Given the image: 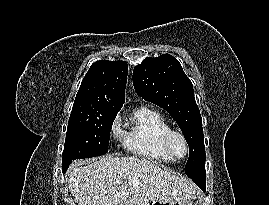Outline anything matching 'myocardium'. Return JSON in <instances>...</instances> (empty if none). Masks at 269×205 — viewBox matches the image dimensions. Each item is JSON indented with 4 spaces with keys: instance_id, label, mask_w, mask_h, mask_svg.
<instances>
[{
    "instance_id": "obj_1",
    "label": "myocardium",
    "mask_w": 269,
    "mask_h": 205,
    "mask_svg": "<svg viewBox=\"0 0 269 205\" xmlns=\"http://www.w3.org/2000/svg\"><path fill=\"white\" fill-rule=\"evenodd\" d=\"M176 136L180 137L185 145V153L182 156L177 155L172 146L173 138ZM161 145L163 150L174 160L184 159L189 155L190 152V145L187 136L178 129L170 128L165 131L161 137Z\"/></svg>"
}]
</instances>
